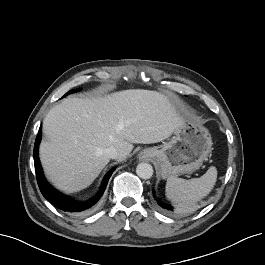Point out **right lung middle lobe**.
<instances>
[{
    "mask_svg": "<svg viewBox=\"0 0 265 265\" xmlns=\"http://www.w3.org/2000/svg\"><path fill=\"white\" fill-rule=\"evenodd\" d=\"M79 91V89H73V90H70L69 92H67L64 96L70 94V93H74V92H77Z\"/></svg>",
    "mask_w": 265,
    "mask_h": 265,
    "instance_id": "right-lung-middle-lobe-1",
    "label": "right lung middle lobe"
}]
</instances>
